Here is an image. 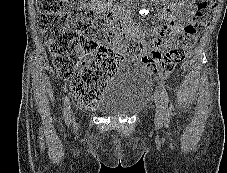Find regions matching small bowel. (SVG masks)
Segmentation results:
<instances>
[{
    "label": "small bowel",
    "mask_w": 227,
    "mask_h": 173,
    "mask_svg": "<svg viewBox=\"0 0 227 173\" xmlns=\"http://www.w3.org/2000/svg\"><path fill=\"white\" fill-rule=\"evenodd\" d=\"M167 4L158 12V18L164 24L152 32L164 36L165 46L172 45L180 36L181 20L189 21L194 13L197 0H162ZM99 6V5H98ZM120 36L115 47L118 56L133 55L128 48L131 40H141L146 35V31L138 25H135L127 16L123 15L119 19Z\"/></svg>",
    "instance_id": "c3829d8e"
}]
</instances>
